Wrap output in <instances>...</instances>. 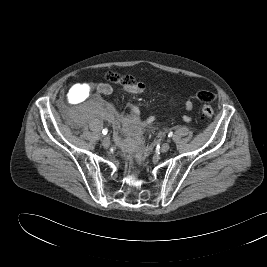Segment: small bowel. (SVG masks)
<instances>
[{
  "label": "small bowel",
  "instance_id": "small-bowel-1",
  "mask_svg": "<svg viewBox=\"0 0 267 267\" xmlns=\"http://www.w3.org/2000/svg\"><path fill=\"white\" fill-rule=\"evenodd\" d=\"M124 89L132 94H140L146 90V85L144 83L139 82L134 86H125ZM96 91L101 96L108 97L112 94L113 89L108 83H99L96 85ZM183 107L186 111H191L193 108L192 101H184ZM140 115L141 113L139 107L136 105H132L127 115L116 113L115 111L111 110L106 114L105 117L113 124L115 128H119L121 124H125L127 132L137 143L136 139L140 131H142L147 126L154 124L158 120V118L153 115L147 117L146 119H141ZM183 119L187 122L191 121L190 117L187 115H184ZM136 152L139 155L143 153V148L139 144L136 148Z\"/></svg>",
  "mask_w": 267,
  "mask_h": 267
}]
</instances>
